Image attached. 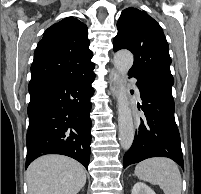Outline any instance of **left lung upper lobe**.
<instances>
[{
    "mask_svg": "<svg viewBox=\"0 0 201 194\" xmlns=\"http://www.w3.org/2000/svg\"><path fill=\"white\" fill-rule=\"evenodd\" d=\"M117 29L113 50L128 49L134 54V64L129 75L172 87L171 58L160 25L145 11L130 7L122 11Z\"/></svg>",
    "mask_w": 201,
    "mask_h": 194,
    "instance_id": "left-lung-upper-lobe-1",
    "label": "left lung upper lobe"
}]
</instances>
